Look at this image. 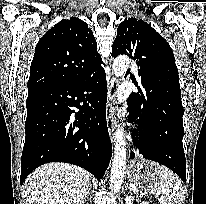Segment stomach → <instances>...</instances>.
Segmentation results:
<instances>
[{
    "label": "stomach",
    "instance_id": "obj_1",
    "mask_svg": "<svg viewBox=\"0 0 206 204\" xmlns=\"http://www.w3.org/2000/svg\"><path fill=\"white\" fill-rule=\"evenodd\" d=\"M160 165L146 161L144 159H135L131 162L128 169V177L136 190L148 191L160 185Z\"/></svg>",
    "mask_w": 206,
    "mask_h": 204
}]
</instances>
